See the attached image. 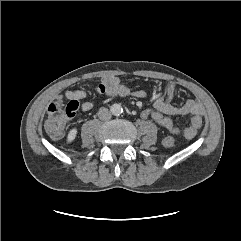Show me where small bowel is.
Segmentation results:
<instances>
[{"label": "small bowel", "mask_w": 241, "mask_h": 241, "mask_svg": "<svg viewBox=\"0 0 241 241\" xmlns=\"http://www.w3.org/2000/svg\"><path fill=\"white\" fill-rule=\"evenodd\" d=\"M102 84L105 87L104 93L110 97H126L134 96L136 98H144L147 93L144 90H131L126 86L119 77L110 76L103 80ZM175 87L171 83L163 86L162 91L153 97L152 109H146L142 113V117L147 118L150 116L151 111L156 110L167 116H186L192 115L200 117L203 112V106L196 100H187L183 105L176 106L172 104ZM65 96L69 100L85 99L87 93L84 90H69L66 91ZM94 104L86 101L81 105V110L84 112L90 111Z\"/></svg>", "instance_id": "1"}]
</instances>
